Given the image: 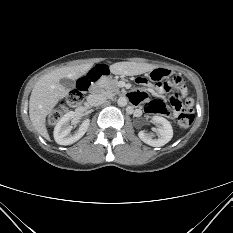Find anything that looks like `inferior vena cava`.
<instances>
[{
    "label": "inferior vena cava",
    "mask_w": 233,
    "mask_h": 233,
    "mask_svg": "<svg viewBox=\"0 0 233 233\" xmlns=\"http://www.w3.org/2000/svg\"><path fill=\"white\" fill-rule=\"evenodd\" d=\"M87 101L91 106H98L106 101V96L103 94H98V95L91 94L87 97Z\"/></svg>",
    "instance_id": "inferior-vena-cava-1"
}]
</instances>
